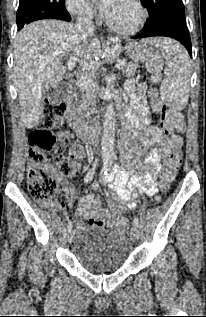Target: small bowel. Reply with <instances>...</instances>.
<instances>
[{"mask_svg":"<svg viewBox=\"0 0 206 317\" xmlns=\"http://www.w3.org/2000/svg\"><path fill=\"white\" fill-rule=\"evenodd\" d=\"M132 96L133 111L126 117L123 130L122 154L120 167L109 172L105 178L107 186L115 194V199H108V208L102 209L100 200L94 194L81 196L76 211L78 217L88 221L92 227H102L105 219L114 220L124 213L129 207L137 206L138 197H151L158 192L157 175L160 163L174 150L182 146V137L177 134H168L159 127L150 123V110L143 98L145 85L134 86L130 82L127 86ZM152 108L160 112L162 103L155 89L150 91ZM83 151L79 145L71 148V160L74 163L75 172L79 169V161ZM138 158L134 161L132 157ZM52 174L67 194L68 202H75V191L67 179L61 177L54 168ZM92 189H98V183H92ZM41 205L53 212H62L64 204L58 200L42 201ZM97 210H100L98 212ZM77 231L83 233L87 225L77 222Z\"/></svg>","mask_w":206,"mask_h":317,"instance_id":"c3829d8e","label":"small bowel"}]
</instances>
